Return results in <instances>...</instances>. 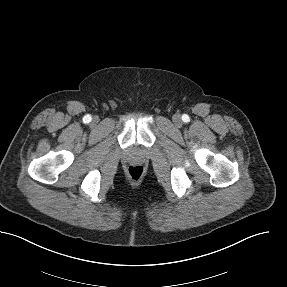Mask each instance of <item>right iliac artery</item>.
Listing matches in <instances>:
<instances>
[{
	"label": "right iliac artery",
	"mask_w": 287,
	"mask_h": 287,
	"mask_svg": "<svg viewBox=\"0 0 287 287\" xmlns=\"http://www.w3.org/2000/svg\"><path fill=\"white\" fill-rule=\"evenodd\" d=\"M91 119L92 118L90 115H86V116H84L83 121H84V123H89L91 121Z\"/></svg>",
	"instance_id": "right-iliac-artery-1"
}]
</instances>
